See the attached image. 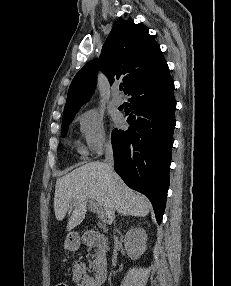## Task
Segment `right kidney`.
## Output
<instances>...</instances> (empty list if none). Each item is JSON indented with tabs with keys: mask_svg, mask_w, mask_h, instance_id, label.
<instances>
[{
	"mask_svg": "<svg viewBox=\"0 0 231 286\" xmlns=\"http://www.w3.org/2000/svg\"><path fill=\"white\" fill-rule=\"evenodd\" d=\"M147 234L140 227L132 228L127 232L124 246L131 259H138L146 250Z\"/></svg>",
	"mask_w": 231,
	"mask_h": 286,
	"instance_id": "1",
	"label": "right kidney"
}]
</instances>
